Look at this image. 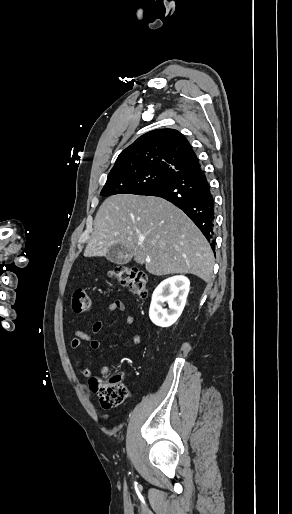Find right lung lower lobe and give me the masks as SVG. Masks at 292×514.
<instances>
[{
	"instance_id": "obj_1",
	"label": "right lung lower lobe",
	"mask_w": 292,
	"mask_h": 514,
	"mask_svg": "<svg viewBox=\"0 0 292 514\" xmlns=\"http://www.w3.org/2000/svg\"><path fill=\"white\" fill-rule=\"evenodd\" d=\"M143 195L164 198L183 210L215 249V201L199 163L172 174Z\"/></svg>"
}]
</instances>
